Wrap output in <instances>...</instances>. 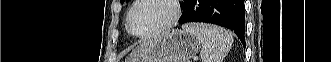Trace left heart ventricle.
<instances>
[{"instance_id":"left-heart-ventricle-1","label":"left heart ventricle","mask_w":331,"mask_h":62,"mask_svg":"<svg viewBox=\"0 0 331 62\" xmlns=\"http://www.w3.org/2000/svg\"><path fill=\"white\" fill-rule=\"evenodd\" d=\"M173 14L166 0H145L132 14V28L138 34L152 31L163 25Z\"/></svg>"}]
</instances>
